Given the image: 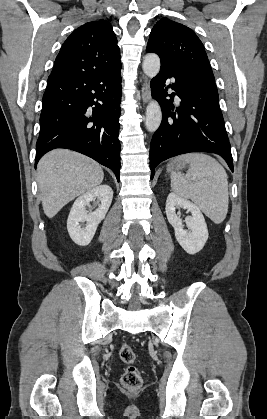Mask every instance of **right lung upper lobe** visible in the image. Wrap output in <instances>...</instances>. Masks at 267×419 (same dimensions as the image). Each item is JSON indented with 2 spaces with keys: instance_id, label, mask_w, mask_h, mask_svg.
<instances>
[{
  "instance_id": "1",
  "label": "right lung upper lobe",
  "mask_w": 267,
  "mask_h": 419,
  "mask_svg": "<svg viewBox=\"0 0 267 419\" xmlns=\"http://www.w3.org/2000/svg\"><path fill=\"white\" fill-rule=\"evenodd\" d=\"M120 64V49L112 26L99 20L80 26L66 39L51 75L89 73Z\"/></svg>"
}]
</instances>
